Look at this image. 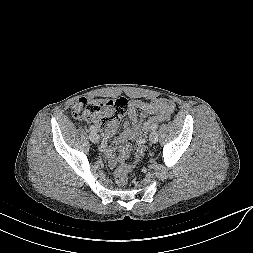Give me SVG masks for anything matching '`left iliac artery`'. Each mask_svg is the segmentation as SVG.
<instances>
[{
  "instance_id": "44dca946",
  "label": "left iliac artery",
  "mask_w": 253,
  "mask_h": 253,
  "mask_svg": "<svg viewBox=\"0 0 253 253\" xmlns=\"http://www.w3.org/2000/svg\"><path fill=\"white\" fill-rule=\"evenodd\" d=\"M157 128H158V124H157V123H154V124L151 126V130H152V131H155Z\"/></svg>"
}]
</instances>
